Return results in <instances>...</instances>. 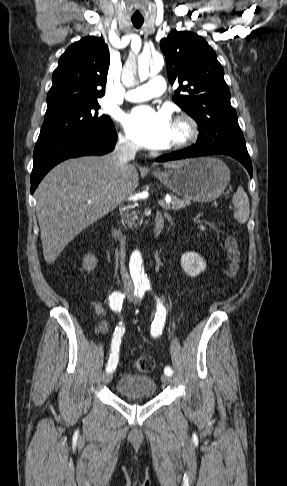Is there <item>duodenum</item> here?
Listing matches in <instances>:
<instances>
[{"label": "duodenum", "mask_w": 287, "mask_h": 486, "mask_svg": "<svg viewBox=\"0 0 287 486\" xmlns=\"http://www.w3.org/2000/svg\"><path fill=\"white\" fill-rule=\"evenodd\" d=\"M164 228V218L163 216L159 215L156 217L155 220V226H154V234L155 236H159L161 232L163 231ZM112 234L116 238L118 242H120L122 245L126 244V241L122 235V233L116 229H112Z\"/></svg>", "instance_id": "duodenum-1"}]
</instances>
